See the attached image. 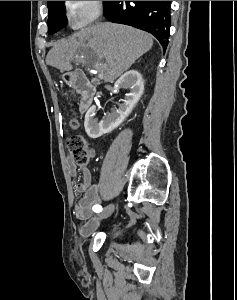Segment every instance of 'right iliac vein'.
Segmentation results:
<instances>
[{"mask_svg": "<svg viewBox=\"0 0 237 300\" xmlns=\"http://www.w3.org/2000/svg\"><path fill=\"white\" fill-rule=\"evenodd\" d=\"M115 206L114 204H110L108 205L103 212H101L100 214H98V218L100 219H105L107 217H109L113 212H114Z\"/></svg>", "mask_w": 237, "mask_h": 300, "instance_id": "right-iliac-vein-1", "label": "right iliac vein"}]
</instances>
